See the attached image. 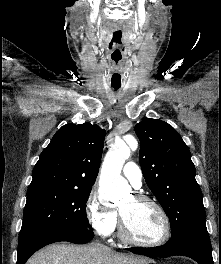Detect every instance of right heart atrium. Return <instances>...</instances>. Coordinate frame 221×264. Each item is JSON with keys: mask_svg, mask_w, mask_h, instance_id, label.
I'll list each match as a JSON object with an SVG mask.
<instances>
[{"mask_svg": "<svg viewBox=\"0 0 221 264\" xmlns=\"http://www.w3.org/2000/svg\"><path fill=\"white\" fill-rule=\"evenodd\" d=\"M85 217L89 225L101 236H110L117 226V213L104 206L95 191L85 201Z\"/></svg>", "mask_w": 221, "mask_h": 264, "instance_id": "right-heart-atrium-1", "label": "right heart atrium"}]
</instances>
